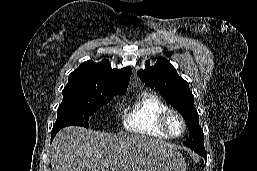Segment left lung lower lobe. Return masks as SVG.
<instances>
[{
    "mask_svg": "<svg viewBox=\"0 0 257 171\" xmlns=\"http://www.w3.org/2000/svg\"><path fill=\"white\" fill-rule=\"evenodd\" d=\"M196 153H198L199 155L203 156L206 160L207 158V154H206V151H205V148H202V149H195L194 150Z\"/></svg>",
    "mask_w": 257,
    "mask_h": 171,
    "instance_id": "0a47b994",
    "label": "left lung lower lobe"
}]
</instances>
